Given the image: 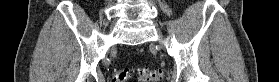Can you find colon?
<instances>
[{
    "instance_id": "5ec220e1",
    "label": "colon",
    "mask_w": 279,
    "mask_h": 82,
    "mask_svg": "<svg viewBox=\"0 0 279 82\" xmlns=\"http://www.w3.org/2000/svg\"><path fill=\"white\" fill-rule=\"evenodd\" d=\"M139 76L143 81H158L161 76V70L145 67L139 70ZM130 73L128 70H117L113 74L114 82H128Z\"/></svg>"
}]
</instances>
